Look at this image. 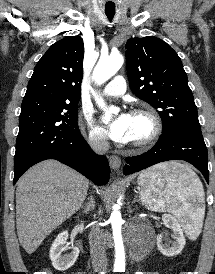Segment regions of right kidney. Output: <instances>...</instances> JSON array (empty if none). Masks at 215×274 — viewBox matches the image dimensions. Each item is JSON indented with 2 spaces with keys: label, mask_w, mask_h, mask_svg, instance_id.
I'll use <instances>...</instances> for the list:
<instances>
[{
  "label": "right kidney",
  "mask_w": 215,
  "mask_h": 274,
  "mask_svg": "<svg viewBox=\"0 0 215 274\" xmlns=\"http://www.w3.org/2000/svg\"><path fill=\"white\" fill-rule=\"evenodd\" d=\"M67 239L68 232H61L54 240L50 249L52 265L58 271H66L72 267L79 256V248L75 246L68 247ZM68 249L70 253L63 254Z\"/></svg>",
  "instance_id": "right-kidney-1"
}]
</instances>
